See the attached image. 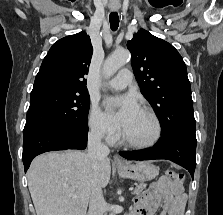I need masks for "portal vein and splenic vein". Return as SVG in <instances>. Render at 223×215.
I'll list each match as a JSON object with an SVG mask.
<instances>
[{
    "instance_id": "obj_1",
    "label": "portal vein and splenic vein",
    "mask_w": 223,
    "mask_h": 215,
    "mask_svg": "<svg viewBox=\"0 0 223 215\" xmlns=\"http://www.w3.org/2000/svg\"><path fill=\"white\" fill-rule=\"evenodd\" d=\"M135 189V186H129V188L127 189L129 192H132ZM73 199H76L77 195L76 193H74V195H72Z\"/></svg>"
}]
</instances>
